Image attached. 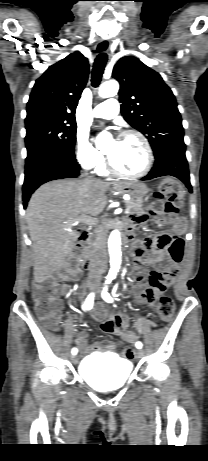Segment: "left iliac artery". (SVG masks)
Masks as SVG:
<instances>
[{
    "mask_svg": "<svg viewBox=\"0 0 208 461\" xmlns=\"http://www.w3.org/2000/svg\"><path fill=\"white\" fill-rule=\"evenodd\" d=\"M102 298L108 302V303H112L113 302V299L112 297L109 295V293L107 292V288H104L103 292H102ZM136 347L138 349H141L142 348V343L141 342H137L136 343Z\"/></svg>",
    "mask_w": 208,
    "mask_h": 461,
    "instance_id": "1",
    "label": "left iliac artery"
}]
</instances>
